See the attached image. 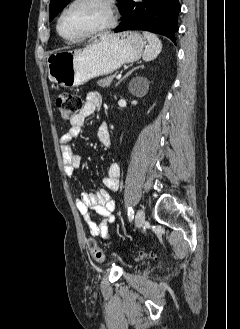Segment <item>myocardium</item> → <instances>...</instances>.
<instances>
[{
	"mask_svg": "<svg viewBox=\"0 0 240 329\" xmlns=\"http://www.w3.org/2000/svg\"><path fill=\"white\" fill-rule=\"evenodd\" d=\"M84 0H72L69 4H67L59 13L57 20H56V31L58 33V35L64 39L67 42H76V41H80L86 38H89L91 36H95L98 34H102L105 33L109 30H111L112 28H114L117 24V20H118V16H117V11H116V7L114 4V0H97L98 2L102 3L107 11H108V22L98 28H95L93 30H90L84 34H81L79 36H75V37H66L65 35L62 34L61 30H60V23L61 20L63 18V16L65 15V13L71 9L74 5H76L79 2H82Z\"/></svg>",
	"mask_w": 240,
	"mask_h": 329,
	"instance_id": "1",
	"label": "myocardium"
}]
</instances>
